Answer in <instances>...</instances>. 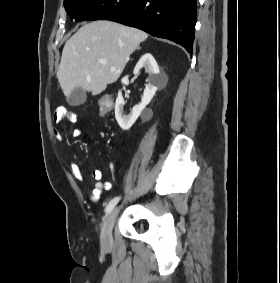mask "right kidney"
Returning a JSON list of instances; mask_svg holds the SVG:
<instances>
[{
  "label": "right kidney",
  "instance_id": "1",
  "mask_svg": "<svg viewBox=\"0 0 280 283\" xmlns=\"http://www.w3.org/2000/svg\"><path fill=\"white\" fill-rule=\"evenodd\" d=\"M143 67L145 68V72L149 74V83L146 85L140 104L133 107L131 114L126 115L124 114L123 106L125 102L121 91H119L116 99L115 118L123 130H129L132 127L137 118L140 116L142 110L152 100L158 90V86L167 80L165 75L160 74L157 62L150 53H146L140 58L134 68V74H139L140 69ZM122 83L125 85L129 84L128 76H125L122 79Z\"/></svg>",
  "mask_w": 280,
  "mask_h": 283
}]
</instances>
